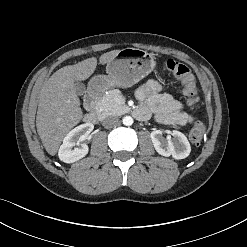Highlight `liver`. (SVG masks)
<instances>
[{
	"label": "liver",
	"instance_id": "obj_1",
	"mask_svg": "<svg viewBox=\"0 0 247 247\" xmlns=\"http://www.w3.org/2000/svg\"><path fill=\"white\" fill-rule=\"evenodd\" d=\"M120 50L104 53L99 63L104 65ZM97 66L96 57L57 70L42 86L36 116L37 132L45 150L54 156L66 136L83 117L75 81L88 79Z\"/></svg>",
	"mask_w": 247,
	"mask_h": 247
}]
</instances>
